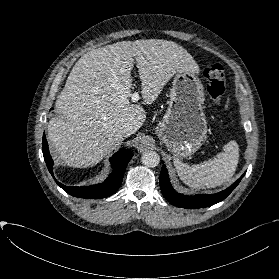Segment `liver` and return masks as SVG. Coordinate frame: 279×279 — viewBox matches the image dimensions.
I'll return each instance as SVG.
<instances>
[{"mask_svg": "<svg viewBox=\"0 0 279 279\" xmlns=\"http://www.w3.org/2000/svg\"><path fill=\"white\" fill-rule=\"evenodd\" d=\"M144 103L151 104L177 72L198 73L193 57L175 42L162 39L121 41L84 54L71 70L57 98L47 127L54 153L66 165L84 168L98 164L143 125L142 106L130 104L134 63Z\"/></svg>", "mask_w": 279, "mask_h": 279, "instance_id": "6515ba94", "label": "liver"}]
</instances>
